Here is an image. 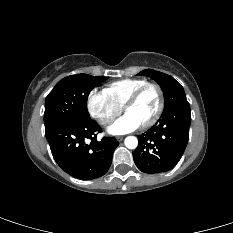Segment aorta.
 <instances>
[{"instance_id":"obj_1","label":"aorta","mask_w":233,"mask_h":233,"mask_svg":"<svg viewBox=\"0 0 233 233\" xmlns=\"http://www.w3.org/2000/svg\"><path fill=\"white\" fill-rule=\"evenodd\" d=\"M124 144L128 149H135L138 146V140L135 136H128L125 138Z\"/></svg>"}]
</instances>
